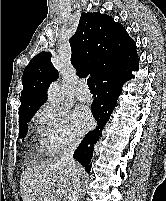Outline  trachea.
Wrapping results in <instances>:
<instances>
[{"mask_svg":"<svg viewBox=\"0 0 166 201\" xmlns=\"http://www.w3.org/2000/svg\"><path fill=\"white\" fill-rule=\"evenodd\" d=\"M87 84H88V87H89L90 90H96L95 84H94L93 80L90 77L87 79Z\"/></svg>","mask_w":166,"mask_h":201,"instance_id":"1","label":"trachea"}]
</instances>
